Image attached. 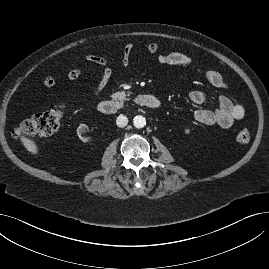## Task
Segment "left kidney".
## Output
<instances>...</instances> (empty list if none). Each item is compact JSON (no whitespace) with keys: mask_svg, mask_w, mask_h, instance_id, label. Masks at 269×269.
Segmentation results:
<instances>
[{"mask_svg":"<svg viewBox=\"0 0 269 269\" xmlns=\"http://www.w3.org/2000/svg\"><path fill=\"white\" fill-rule=\"evenodd\" d=\"M185 133L186 134H189L190 133V130L189 129H185Z\"/></svg>","mask_w":269,"mask_h":269,"instance_id":"1","label":"left kidney"}]
</instances>
